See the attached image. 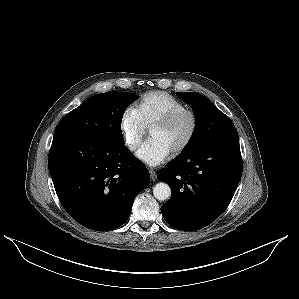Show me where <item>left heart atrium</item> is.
Masks as SVG:
<instances>
[{
    "instance_id": "left-heart-atrium-1",
    "label": "left heart atrium",
    "mask_w": 299,
    "mask_h": 299,
    "mask_svg": "<svg viewBox=\"0 0 299 299\" xmlns=\"http://www.w3.org/2000/svg\"><path fill=\"white\" fill-rule=\"evenodd\" d=\"M170 150L157 139H149L138 149V159L149 166H157L163 163L170 155Z\"/></svg>"
}]
</instances>
